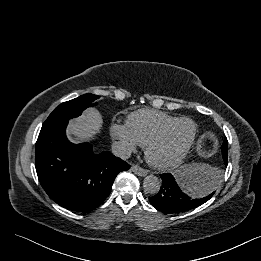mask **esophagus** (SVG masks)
Returning a JSON list of instances; mask_svg holds the SVG:
<instances>
[{"label":"esophagus","mask_w":261,"mask_h":261,"mask_svg":"<svg viewBox=\"0 0 261 261\" xmlns=\"http://www.w3.org/2000/svg\"><path fill=\"white\" fill-rule=\"evenodd\" d=\"M131 170L138 176H146L147 175V171L143 168H141L138 165H133L131 167Z\"/></svg>","instance_id":"obj_1"}]
</instances>
